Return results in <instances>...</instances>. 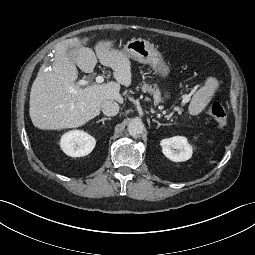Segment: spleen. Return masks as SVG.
Masks as SVG:
<instances>
[{"label":"spleen","instance_id":"1","mask_svg":"<svg viewBox=\"0 0 255 255\" xmlns=\"http://www.w3.org/2000/svg\"><path fill=\"white\" fill-rule=\"evenodd\" d=\"M218 85L219 83L215 78L207 79L205 86L200 88L192 97L188 109L190 115H198L204 110Z\"/></svg>","mask_w":255,"mask_h":255}]
</instances>
